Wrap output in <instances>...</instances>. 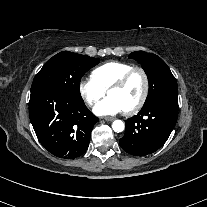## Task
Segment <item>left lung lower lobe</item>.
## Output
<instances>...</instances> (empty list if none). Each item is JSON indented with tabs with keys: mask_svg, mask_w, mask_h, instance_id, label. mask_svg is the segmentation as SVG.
Listing matches in <instances>:
<instances>
[{
	"mask_svg": "<svg viewBox=\"0 0 207 207\" xmlns=\"http://www.w3.org/2000/svg\"><path fill=\"white\" fill-rule=\"evenodd\" d=\"M178 116V93L163 94L126 122L125 134L119 140L124 151L144 156L157 151L169 138Z\"/></svg>",
	"mask_w": 207,
	"mask_h": 207,
	"instance_id": "obj_1",
	"label": "left lung lower lobe"
}]
</instances>
